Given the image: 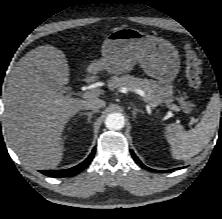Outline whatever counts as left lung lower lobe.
Returning <instances> with one entry per match:
<instances>
[{
	"instance_id": "1",
	"label": "left lung lower lobe",
	"mask_w": 222,
	"mask_h": 219,
	"mask_svg": "<svg viewBox=\"0 0 222 219\" xmlns=\"http://www.w3.org/2000/svg\"><path fill=\"white\" fill-rule=\"evenodd\" d=\"M130 152H131L134 160H135L136 162H138L140 165H142L145 169L149 170V171H152V172H170V171H172V170L158 171V170L150 169V168L146 167L144 164H142V162L138 159V157L135 155V153L133 152V150H130Z\"/></svg>"
}]
</instances>
